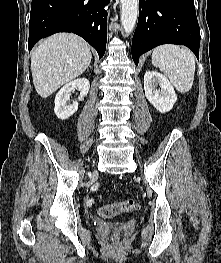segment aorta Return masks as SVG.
<instances>
[{"instance_id":"aorta-1","label":"aorta","mask_w":221,"mask_h":263,"mask_svg":"<svg viewBox=\"0 0 221 263\" xmlns=\"http://www.w3.org/2000/svg\"><path fill=\"white\" fill-rule=\"evenodd\" d=\"M121 2V24L125 36L134 29L138 17V0H120Z\"/></svg>"}]
</instances>
